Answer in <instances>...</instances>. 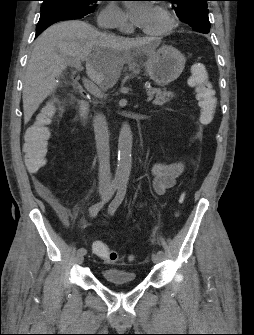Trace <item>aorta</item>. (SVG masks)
Wrapping results in <instances>:
<instances>
[{"label": "aorta", "instance_id": "aorta-1", "mask_svg": "<svg viewBox=\"0 0 254 335\" xmlns=\"http://www.w3.org/2000/svg\"><path fill=\"white\" fill-rule=\"evenodd\" d=\"M132 131L127 122L123 123L118 139V162L114 184L126 187L132 164Z\"/></svg>", "mask_w": 254, "mask_h": 335}]
</instances>
